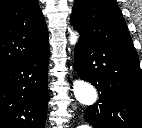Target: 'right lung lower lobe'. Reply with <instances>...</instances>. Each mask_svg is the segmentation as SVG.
<instances>
[{"instance_id": "98d812e1", "label": "right lung lower lobe", "mask_w": 142, "mask_h": 128, "mask_svg": "<svg viewBox=\"0 0 142 128\" xmlns=\"http://www.w3.org/2000/svg\"><path fill=\"white\" fill-rule=\"evenodd\" d=\"M49 44L0 71V128H44Z\"/></svg>"}]
</instances>
